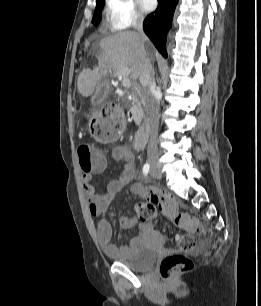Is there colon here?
Masks as SVG:
<instances>
[{"label":"colon","mask_w":261,"mask_h":306,"mask_svg":"<svg viewBox=\"0 0 261 306\" xmlns=\"http://www.w3.org/2000/svg\"><path fill=\"white\" fill-rule=\"evenodd\" d=\"M111 113V121L97 120L91 127L95 140L110 142L116 140L122 132V119L118 106L111 103L107 106ZM80 167L82 171H90L104 160L100 152L93 153L89 143H82L78 147ZM157 207L169 217L175 225L187 231L176 237L175 246L178 252L165 257L160 263L159 271L163 278L168 279L193 269V261L183 252L191 251L196 246L194 234L199 230L198 221L186 212L177 209L174 199L161 192L149 189L147 200L136 206V213L140 220L151 221L157 214Z\"/></svg>","instance_id":"1"}]
</instances>
